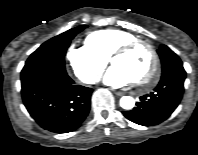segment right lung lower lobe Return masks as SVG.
Wrapping results in <instances>:
<instances>
[{"mask_svg": "<svg viewBox=\"0 0 198 155\" xmlns=\"http://www.w3.org/2000/svg\"><path fill=\"white\" fill-rule=\"evenodd\" d=\"M21 93L31 117L55 133L76 130L90 110L93 89L75 85L65 69L44 63L26 64Z\"/></svg>", "mask_w": 198, "mask_h": 155, "instance_id": "right-lung-lower-lobe-1", "label": "right lung lower lobe"}]
</instances>
